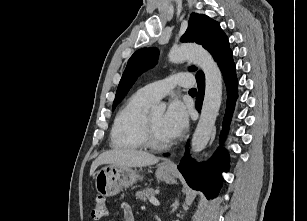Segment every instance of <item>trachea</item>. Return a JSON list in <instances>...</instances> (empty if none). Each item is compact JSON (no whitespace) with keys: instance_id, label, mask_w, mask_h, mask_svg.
<instances>
[{"instance_id":"1","label":"trachea","mask_w":307,"mask_h":221,"mask_svg":"<svg viewBox=\"0 0 307 221\" xmlns=\"http://www.w3.org/2000/svg\"><path fill=\"white\" fill-rule=\"evenodd\" d=\"M189 92H190V93H196V89H195V88H191V89L189 90Z\"/></svg>"}]
</instances>
